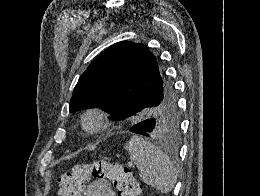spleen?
<instances>
[{
    "instance_id": "obj_1",
    "label": "spleen",
    "mask_w": 260,
    "mask_h": 196,
    "mask_svg": "<svg viewBox=\"0 0 260 196\" xmlns=\"http://www.w3.org/2000/svg\"><path fill=\"white\" fill-rule=\"evenodd\" d=\"M124 148L147 186L156 188L162 194L171 192L176 184L177 172L173 162L160 148L140 136H131Z\"/></svg>"
}]
</instances>
